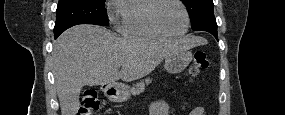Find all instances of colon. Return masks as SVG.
<instances>
[{
	"mask_svg": "<svg viewBox=\"0 0 285 115\" xmlns=\"http://www.w3.org/2000/svg\"><path fill=\"white\" fill-rule=\"evenodd\" d=\"M208 67V60L204 52H196L190 66V74L197 77ZM99 109V100L94 91L88 90L83 94L79 115H90Z\"/></svg>",
	"mask_w": 285,
	"mask_h": 115,
	"instance_id": "obj_1",
	"label": "colon"
}]
</instances>
